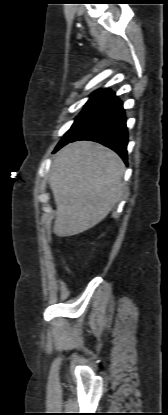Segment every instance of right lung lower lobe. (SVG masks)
Returning a JSON list of instances; mask_svg holds the SVG:
<instances>
[{"label":"right lung lower lobe","instance_id":"right-lung-lower-lobe-1","mask_svg":"<svg viewBox=\"0 0 168 415\" xmlns=\"http://www.w3.org/2000/svg\"><path fill=\"white\" fill-rule=\"evenodd\" d=\"M89 140L99 142L120 155L127 163L128 131L123 104L111 90L89 102L76 117L54 152L64 145Z\"/></svg>","mask_w":168,"mask_h":415}]
</instances>
